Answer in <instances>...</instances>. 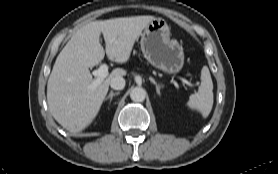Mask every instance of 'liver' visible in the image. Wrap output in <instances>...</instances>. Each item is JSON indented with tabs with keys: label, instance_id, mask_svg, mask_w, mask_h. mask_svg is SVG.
<instances>
[{
	"label": "liver",
	"instance_id": "6515ba94",
	"mask_svg": "<svg viewBox=\"0 0 278 174\" xmlns=\"http://www.w3.org/2000/svg\"><path fill=\"white\" fill-rule=\"evenodd\" d=\"M155 17L150 15L92 21L79 28L57 56L47 83V103L54 119L66 130L78 133L97 116L111 79L126 75L115 68L95 89L89 68L106 54L117 63L128 61L135 41ZM103 34L106 48L100 43Z\"/></svg>",
	"mask_w": 278,
	"mask_h": 174
}]
</instances>
